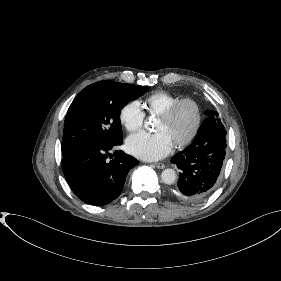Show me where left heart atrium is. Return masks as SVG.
<instances>
[{
	"label": "left heart atrium",
	"mask_w": 281,
	"mask_h": 281,
	"mask_svg": "<svg viewBox=\"0 0 281 281\" xmlns=\"http://www.w3.org/2000/svg\"><path fill=\"white\" fill-rule=\"evenodd\" d=\"M173 145L163 132H139L126 141L128 152L137 158L156 161L168 155Z\"/></svg>",
	"instance_id": "left-heart-atrium-1"
}]
</instances>
